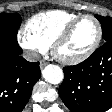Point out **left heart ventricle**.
<instances>
[{
  "label": "left heart ventricle",
  "instance_id": "left-heart-ventricle-1",
  "mask_svg": "<svg viewBox=\"0 0 112 112\" xmlns=\"http://www.w3.org/2000/svg\"><path fill=\"white\" fill-rule=\"evenodd\" d=\"M97 27L90 18L82 19L72 30L69 37L60 45L58 53L65 58L83 54L95 40Z\"/></svg>",
  "mask_w": 112,
  "mask_h": 112
}]
</instances>
